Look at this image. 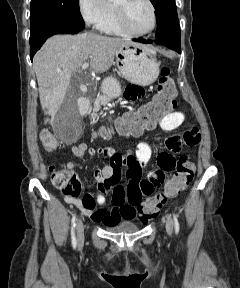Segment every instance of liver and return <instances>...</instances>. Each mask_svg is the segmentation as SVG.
<instances>
[{
    "instance_id": "liver-1",
    "label": "liver",
    "mask_w": 240,
    "mask_h": 288,
    "mask_svg": "<svg viewBox=\"0 0 240 288\" xmlns=\"http://www.w3.org/2000/svg\"><path fill=\"white\" fill-rule=\"evenodd\" d=\"M123 45L143 46L129 39L91 32L50 37L34 57L40 104L45 114L53 116L63 105L71 77L83 63L90 62L92 71L103 73L114 64L115 53Z\"/></svg>"
}]
</instances>
